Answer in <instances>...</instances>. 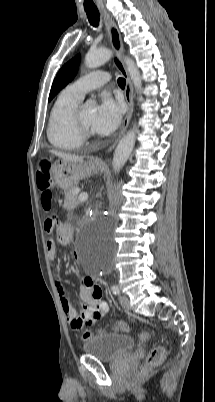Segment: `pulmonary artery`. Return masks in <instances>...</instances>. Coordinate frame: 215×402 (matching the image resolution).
<instances>
[{
    "label": "pulmonary artery",
    "instance_id": "obj_1",
    "mask_svg": "<svg viewBox=\"0 0 215 402\" xmlns=\"http://www.w3.org/2000/svg\"><path fill=\"white\" fill-rule=\"evenodd\" d=\"M109 79L110 75L107 72L94 71L79 78L67 88L79 97L83 98L88 91L104 85L109 81Z\"/></svg>",
    "mask_w": 215,
    "mask_h": 402
}]
</instances>
